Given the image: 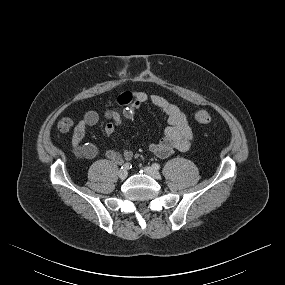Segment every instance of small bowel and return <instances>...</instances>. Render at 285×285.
I'll return each mask as SVG.
<instances>
[{"label": "small bowel", "mask_w": 285, "mask_h": 285, "mask_svg": "<svg viewBox=\"0 0 285 285\" xmlns=\"http://www.w3.org/2000/svg\"><path fill=\"white\" fill-rule=\"evenodd\" d=\"M146 103L158 107L166 115L169 124L163 130L160 140L149 145V150L160 158H166L174 151L186 152L189 150L193 140V131L186 114L177 105L163 96L141 91H125L115 100V104L124 108L123 116L127 119L133 118L135 110ZM103 116L109 121L104 127L105 133L114 136L117 128L122 123V117L113 108V103L107 104ZM99 119L100 115L97 111L89 110L75 126L71 144L73 153L78 158L90 160L97 156V147L93 144H84L83 140L89 128L95 126ZM104 154L116 164H120L124 160H130L134 155L132 150L118 152L114 149H105Z\"/></svg>", "instance_id": "obj_1"}]
</instances>
